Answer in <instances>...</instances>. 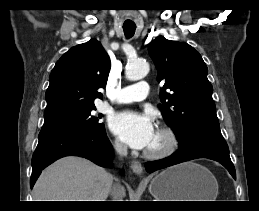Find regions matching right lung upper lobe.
<instances>
[{"label": "right lung upper lobe", "instance_id": "obj_1", "mask_svg": "<svg viewBox=\"0 0 259 211\" xmlns=\"http://www.w3.org/2000/svg\"><path fill=\"white\" fill-rule=\"evenodd\" d=\"M111 62L95 39L72 47L56 63L45 94L44 123L55 122L94 108V99L107 83Z\"/></svg>", "mask_w": 259, "mask_h": 211}]
</instances>
